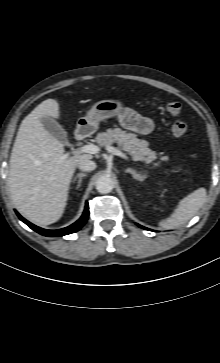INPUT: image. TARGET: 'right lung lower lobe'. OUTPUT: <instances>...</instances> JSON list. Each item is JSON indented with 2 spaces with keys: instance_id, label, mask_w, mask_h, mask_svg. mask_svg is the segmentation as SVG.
Wrapping results in <instances>:
<instances>
[{
  "instance_id": "right-lung-lower-lobe-1",
  "label": "right lung lower lobe",
  "mask_w": 220,
  "mask_h": 363,
  "mask_svg": "<svg viewBox=\"0 0 220 363\" xmlns=\"http://www.w3.org/2000/svg\"><path fill=\"white\" fill-rule=\"evenodd\" d=\"M17 215L20 218V220H22L31 229L38 232L39 234H41L43 236H48V237H59V236H64V235H68V234L77 232L78 230L81 229V227L86 223V221L88 219L89 206H88V204H86L84 213L78 221H76L75 223H73L72 225H70L66 228L59 229V230H46V229L37 227V226L33 225L32 223L28 222L27 220H25L19 213H17Z\"/></svg>"
}]
</instances>
